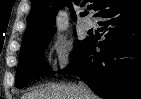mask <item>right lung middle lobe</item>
I'll return each instance as SVG.
<instances>
[{"mask_svg":"<svg viewBox=\"0 0 141 99\" xmlns=\"http://www.w3.org/2000/svg\"><path fill=\"white\" fill-rule=\"evenodd\" d=\"M53 34L54 33H51L45 37L21 46L20 59L15 78V84L17 87L23 86L33 78L51 75L46 62L43 59V54ZM88 39L89 37L83 41H75L74 50L70 55V63L74 60Z\"/></svg>","mask_w":141,"mask_h":99,"instance_id":"right-lung-middle-lobe-1","label":"right lung middle lobe"}]
</instances>
